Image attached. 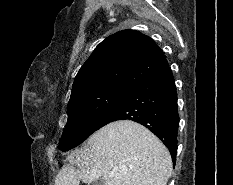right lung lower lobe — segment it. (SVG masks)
Here are the masks:
<instances>
[{
    "mask_svg": "<svg viewBox=\"0 0 233 185\" xmlns=\"http://www.w3.org/2000/svg\"><path fill=\"white\" fill-rule=\"evenodd\" d=\"M123 119L136 121L151 130L169 149L175 163L179 115L175 81L169 66L131 89L98 129Z\"/></svg>",
    "mask_w": 233,
    "mask_h": 185,
    "instance_id": "obj_1",
    "label": "right lung lower lobe"
}]
</instances>
